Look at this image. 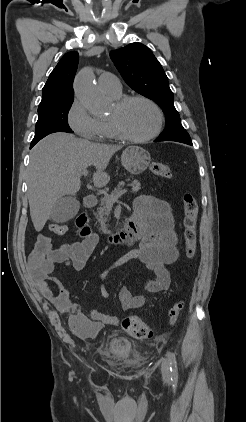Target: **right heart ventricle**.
<instances>
[{
	"label": "right heart ventricle",
	"instance_id": "obj_1",
	"mask_svg": "<svg viewBox=\"0 0 246 422\" xmlns=\"http://www.w3.org/2000/svg\"><path fill=\"white\" fill-rule=\"evenodd\" d=\"M113 98L117 99L119 98L120 95L118 96H113L111 95ZM103 127H104V138L107 139H118L119 136L116 133V131L114 130V128L112 127L111 123L108 120L102 121Z\"/></svg>",
	"mask_w": 246,
	"mask_h": 422
}]
</instances>
